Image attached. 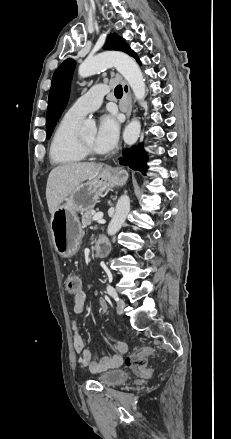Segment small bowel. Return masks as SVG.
I'll return each instance as SVG.
<instances>
[{
  "label": "small bowel",
  "instance_id": "1",
  "mask_svg": "<svg viewBox=\"0 0 231 439\" xmlns=\"http://www.w3.org/2000/svg\"><path fill=\"white\" fill-rule=\"evenodd\" d=\"M88 291L81 287L74 297L73 311L78 317L84 316V304L88 296ZM98 312L104 314L107 311V303L104 299L98 301ZM73 346L75 352L79 354L78 363L83 368H88L92 372H101L110 368L118 367L122 364L123 354L127 351V345L122 341H117L114 344L116 353L112 356H100L94 358L91 351L85 348L83 338L78 332V323L76 320L72 321Z\"/></svg>",
  "mask_w": 231,
  "mask_h": 439
}]
</instances>
